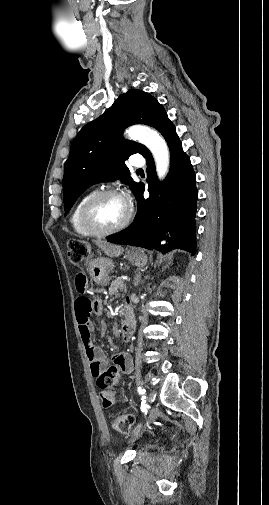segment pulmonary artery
<instances>
[{
    "label": "pulmonary artery",
    "mask_w": 269,
    "mask_h": 505,
    "mask_svg": "<svg viewBox=\"0 0 269 505\" xmlns=\"http://www.w3.org/2000/svg\"><path fill=\"white\" fill-rule=\"evenodd\" d=\"M131 165L134 167H142L144 165V160L141 157L134 156L131 159Z\"/></svg>",
    "instance_id": "obj_1"
}]
</instances>
